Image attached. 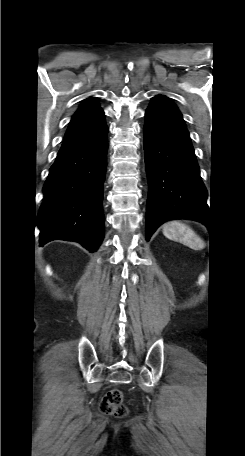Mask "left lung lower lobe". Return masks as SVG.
<instances>
[{
    "instance_id": "obj_1",
    "label": "left lung lower lobe",
    "mask_w": 245,
    "mask_h": 456,
    "mask_svg": "<svg viewBox=\"0 0 245 456\" xmlns=\"http://www.w3.org/2000/svg\"><path fill=\"white\" fill-rule=\"evenodd\" d=\"M144 154L148 179L146 240L173 219L204 221L207 190L182 114L165 96L153 98L145 113Z\"/></svg>"
}]
</instances>
